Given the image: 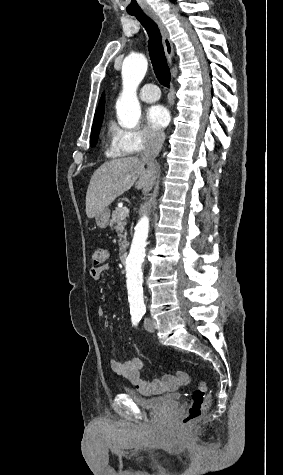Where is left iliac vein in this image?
Segmentation results:
<instances>
[{
	"mask_svg": "<svg viewBox=\"0 0 283 475\" xmlns=\"http://www.w3.org/2000/svg\"><path fill=\"white\" fill-rule=\"evenodd\" d=\"M144 327L147 331L154 332L155 328H156V325H155V322L153 320H151L150 318H145Z\"/></svg>",
	"mask_w": 283,
	"mask_h": 475,
	"instance_id": "4c4485c4",
	"label": "left iliac vein"
}]
</instances>
